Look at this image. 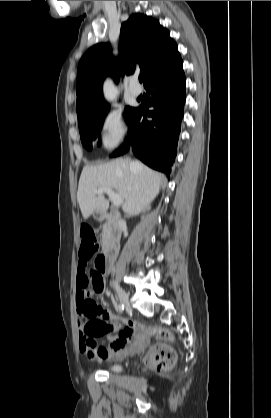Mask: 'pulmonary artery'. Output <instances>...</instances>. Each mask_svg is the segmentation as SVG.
Instances as JSON below:
<instances>
[{"label":"pulmonary artery","mask_w":271,"mask_h":418,"mask_svg":"<svg viewBox=\"0 0 271 418\" xmlns=\"http://www.w3.org/2000/svg\"><path fill=\"white\" fill-rule=\"evenodd\" d=\"M129 90H130L131 95L134 96V97L140 96L141 92H142L141 88L137 85V80L136 79L132 80V83H131V86H130Z\"/></svg>","instance_id":"1"}]
</instances>
